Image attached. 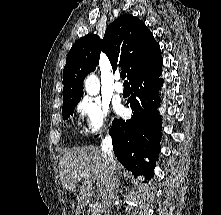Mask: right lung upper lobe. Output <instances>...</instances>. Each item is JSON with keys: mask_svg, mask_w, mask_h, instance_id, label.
I'll use <instances>...</instances> for the list:
<instances>
[{"mask_svg": "<svg viewBox=\"0 0 221 215\" xmlns=\"http://www.w3.org/2000/svg\"><path fill=\"white\" fill-rule=\"evenodd\" d=\"M101 50L113 70L118 64L129 80L161 58L160 47L146 25L130 14L121 15L107 27L102 40L90 34L72 46L63 70V103L80 101L83 81L95 70Z\"/></svg>", "mask_w": 221, "mask_h": 215, "instance_id": "1", "label": "right lung upper lobe"}]
</instances>
